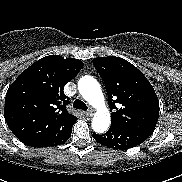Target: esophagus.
Here are the masks:
<instances>
[{
	"mask_svg": "<svg viewBox=\"0 0 182 182\" xmlns=\"http://www.w3.org/2000/svg\"><path fill=\"white\" fill-rule=\"evenodd\" d=\"M85 115H86L87 117H92V116H93V111H92V110H89V111H87V112L85 113Z\"/></svg>",
	"mask_w": 182,
	"mask_h": 182,
	"instance_id": "obj_1",
	"label": "esophagus"
}]
</instances>
